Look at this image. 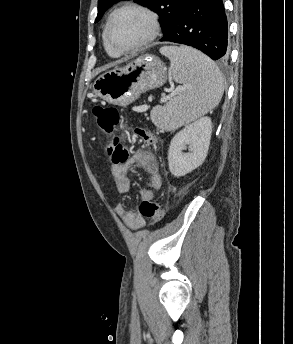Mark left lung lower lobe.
<instances>
[{"mask_svg":"<svg viewBox=\"0 0 293 344\" xmlns=\"http://www.w3.org/2000/svg\"><path fill=\"white\" fill-rule=\"evenodd\" d=\"M227 18L222 0H185L170 30L160 39L201 50L213 60H227Z\"/></svg>","mask_w":293,"mask_h":344,"instance_id":"1","label":"left lung lower lobe"}]
</instances>
